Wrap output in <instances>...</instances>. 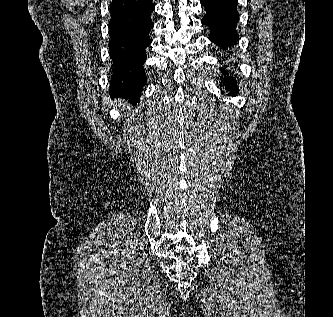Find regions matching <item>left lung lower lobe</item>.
I'll list each match as a JSON object with an SVG mask.
<instances>
[{
    "mask_svg": "<svg viewBox=\"0 0 333 317\" xmlns=\"http://www.w3.org/2000/svg\"><path fill=\"white\" fill-rule=\"evenodd\" d=\"M238 0H201L206 14L201 20L210 30L209 40L225 52L234 47L238 41L237 24L239 13L237 11ZM223 60H225L223 58ZM221 72L226 76L221 78L223 85L235 94L237 90V79L229 76V72L222 67Z\"/></svg>",
    "mask_w": 333,
    "mask_h": 317,
    "instance_id": "obj_1",
    "label": "left lung lower lobe"
}]
</instances>
